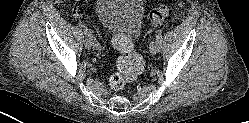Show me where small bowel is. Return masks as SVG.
I'll return each instance as SVG.
<instances>
[{
  "instance_id": "obj_1",
  "label": "small bowel",
  "mask_w": 249,
  "mask_h": 123,
  "mask_svg": "<svg viewBox=\"0 0 249 123\" xmlns=\"http://www.w3.org/2000/svg\"><path fill=\"white\" fill-rule=\"evenodd\" d=\"M87 3H89L90 0H85ZM72 15L74 18H81V12L79 9V6L76 4L72 10Z\"/></svg>"
}]
</instances>
